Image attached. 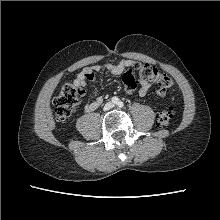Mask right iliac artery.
Returning <instances> with one entry per match:
<instances>
[{"instance_id":"82829eb1","label":"right iliac artery","mask_w":220,"mask_h":220,"mask_svg":"<svg viewBox=\"0 0 220 220\" xmlns=\"http://www.w3.org/2000/svg\"><path fill=\"white\" fill-rule=\"evenodd\" d=\"M112 102H113L114 104H118L119 99H118L117 97H113V98H112Z\"/></svg>"}]
</instances>
